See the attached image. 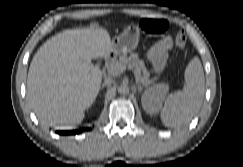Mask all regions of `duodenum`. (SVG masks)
I'll return each mask as SVG.
<instances>
[{
  "instance_id": "obj_1",
  "label": "duodenum",
  "mask_w": 243,
  "mask_h": 167,
  "mask_svg": "<svg viewBox=\"0 0 243 167\" xmlns=\"http://www.w3.org/2000/svg\"><path fill=\"white\" fill-rule=\"evenodd\" d=\"M106 59H107L108 62L112 61L113 54H109Z\"/></svg>"
}]
</instances>
